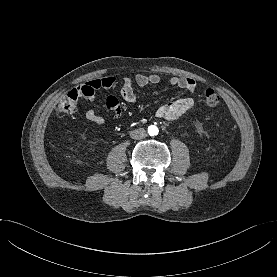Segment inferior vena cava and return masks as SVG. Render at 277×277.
<instances>
[{
	"instance_id": "602c4592",
	"label": "inferior vena cava",
	"mask_w": 277,
	"mask_h": 277,
	"mask_svg": "<svg viewBox=\"0 0 277 277\" xmlns=\"http://www.w3.org/2000/svg\"><path fill=\"white\" fill-rule=\"evenodd\" d=\"M147 136L144 128L135 129L130 132V137L135 140L143 139Z\"/></svg>"
}]
</instances>
